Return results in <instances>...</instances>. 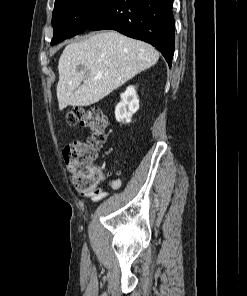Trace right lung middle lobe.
<instances>
[{"instance_id": "obj_1", "label": "right lung middle lobe", "mask_w": 247, "mask_h": 296, "mask_svg": "<svg viewBox=\"0 0 247 296\" xmlns=\"http://www.w3.org/2000/svg\"><path fill=\"white\" fill-rule=\"evenodd\" d=\"M105 0H55L51 45L85 31L94 9Z\"/></svg>"}]
</instances>
